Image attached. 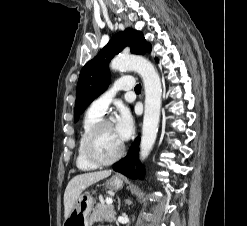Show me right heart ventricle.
I'll return each instance as SVG.
<instances>
[{
  "label": "right heart ventricle",
  "instance_id": "right-heart-ventricle-1",
  "mask_svg": "<svg viewBox=\"0 0 247 226\" xmlns=\"http://www.w3.org/2000/svg\"><path fill=\"white\" fill-rule=\"evenodd\" d=\"M101 120V116L94 113L90 109L87 111L80 130L78 144H77V151H76V165L80 170L88 171L93 170L97 166L90 163L84 156L83 152V140L86 133L90 130V128L95 125L98 121Z\"/></svg>",
  "mask_w": 247,
  "mask_h": 226
}]
</instances>
